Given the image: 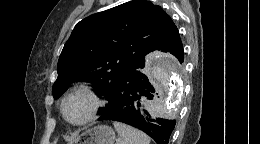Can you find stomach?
Returning a JSON list of instances; mask_svg holds the SVG:
<instances>
[{
    "label": "stomach",
    "mask_w": 260,
    "mask_h": 144,
    "mask_svg": "<svg viewBox=\"0 0 260 144\" xmlns=\"http://www.w3.org/2000/svg\"><path fill=\"white\" fill-rule=\"evenodd\" d=\"M115 131L107 125H98L80 134L75 144H114Z\"/></svg>",
    "instance_id": "obj_1"
}]
</instances>
